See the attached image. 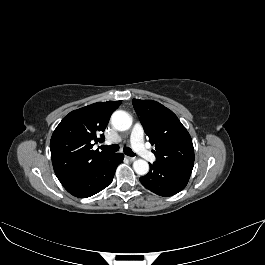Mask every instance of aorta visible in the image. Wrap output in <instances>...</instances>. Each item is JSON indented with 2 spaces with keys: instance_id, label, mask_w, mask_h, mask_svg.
I'll use <instances>...</instances> for the list:
<instances>
[{
  "instance_id": "aorta-1",
  "label": "aorta",
  "mask_w": 265,
  "mask_h": 265,
  "mask_svg": "<svg viewBox=\"0 0 265 265\" xmlns=\"http://www.w3.org/2000/svg\"><path fill=\"white\" fill-rule=\"evenodd\" d=\"M111 122L115 129L126 131L132 125V118L127 112L118 110L112 114ZM133 168L138 175H146L149 171V164L145 160L138 159L134 161Z\"/></svg>"
}]
</instances>
